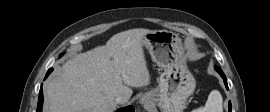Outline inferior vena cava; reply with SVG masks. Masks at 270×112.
<instances>
[{
    "instance_id": "602c4592",
    "label": "inferior vena cava",
    "mask_w": 270,
    "mask_h": 112,
    "mask_svg": "<svg viewBox=\"0 0 270 112\" xmlns=\"http://www.w3.org/2000/svg\"><path fill=\"white\" fill-rule=\"evenodd\" d=\"M115 102L117 104H123V103H126L127 102V99L124 96H122V95H117L115 97Z\"/></svg>"
}]
</instances>
